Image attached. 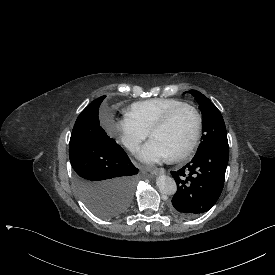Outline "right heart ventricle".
Here are the masks:
<instances>
[{"label": "right heart ventricle", "mask_w": 275, "mask_h": 275, "mask_svg": "<svg viewBox=\"0 0 275 275\" xmlns=\"http://www.w3.org/2000/svg\"><path fill=\"white\" fill-rule=\"evenodd\" d=\"M186 104V102L172 98H153L133 103L126 115L150 132L152 127L160 121L170 110Z\"/></svg>", "instance_id": "e07e8e85"}]
</instances>
